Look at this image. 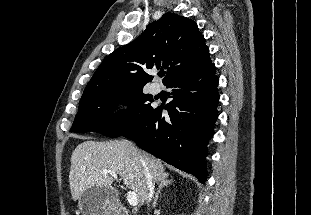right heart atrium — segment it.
Listing matches in <instances>:
<instances>
[{
	"label": "right heart atrium",
	"instance_id": "1",
	"mask_svg": "<svg viewBox=\"0 0 311 215\" xmlns=\"http://www.w3.org/2000/svg\"><path fill=\"white\" fill-rule=\"evenodd\" d=\"M122 111H123V112H126V111H127V108H126V107H124V108L122 109Z\"/></svg>",
	"mask_w": 311,
	"mask_h": 215
}]
</instances>
